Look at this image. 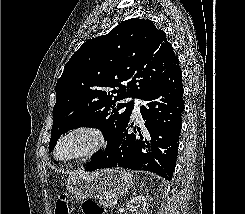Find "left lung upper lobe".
<instances>
[{
    "instance_id": "obj_1",
    "label": "left lung upper lobe",
    "mask_w": 245,
    "mask_h": 214,
    "mask_svg": "<svg viewBox=\"0 0 245 214\" xmlns=\"http://www.w3.org/2000/svg\"><path fill=\"white\" fill-rule=\"evenodd\" d=\"M178 64L165 33L151 20L132 18L86 41L57 81L49 151L78 127H98L110 146L134 108L133 101H119L141 98Z\"/></svg>"
}]
</instances>
